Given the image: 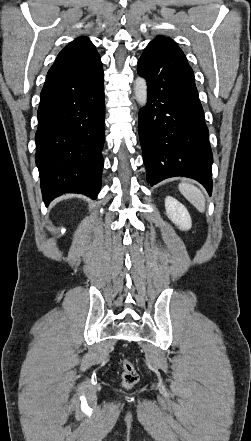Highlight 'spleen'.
Instances as JSON below:
<instances>
[{"instance_id": "3e777b00", "label": "spleen", "mask_w": 251, "mask_h": 441, "mask_svg": "<svg viewBox=\"0 0 251 441\" xmlns=\"http://www.w3.org/2000/svg\"><path fill=\"white\" fill-rule=\"evenodd\" d=\"M179 190L199 212L203 213L205 211V197L197 187L182 182L179 184Z\"/></svg>"}]
</instances>
